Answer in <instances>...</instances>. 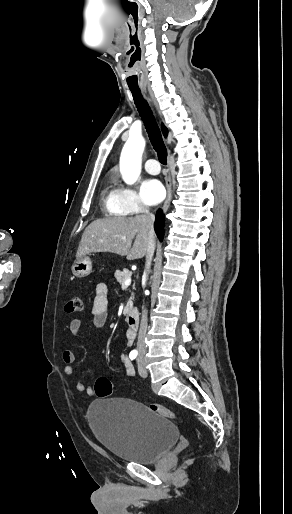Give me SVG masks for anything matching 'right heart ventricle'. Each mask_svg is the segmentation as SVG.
<instances>
[{
    "instance_id": "e07e8e85",
    "label": "right heart ventricle",
    "mask_w": 292,
    "mask_h": 514,
    "mask_svg": "<svg viewBox=\"0 0 292 514\" xmlns=\"http://www.w3.org/2000/svg\"><path fill=\"white\" fill-rule=\"evenodd\" d=\"M100 201L105 216L118 217L126 212L119 203L117 190L111 182L103 186L100 192Z\"/></svg>"
}]
</instances>
